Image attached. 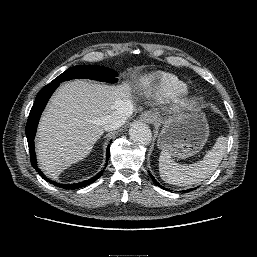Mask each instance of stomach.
Instances as JSON below:
<instances>
[{
    "label": "stomach",
    "mask_w": 257,
    "mask_h": 257,
    "mask_svg": "<svg viewBox=\"0 0 257 257\" xmlns=\"http://www.w3.org/2000/svg\"><path fill=\"white\" fill-rule=\"evenodd\" d=\"M162 123L158 146L177 158L185 159L198 153L209 136L207 120L201 111L173 115Z\"/></svg>",
    "instance_id": "obj_1"
}]
</instances>
